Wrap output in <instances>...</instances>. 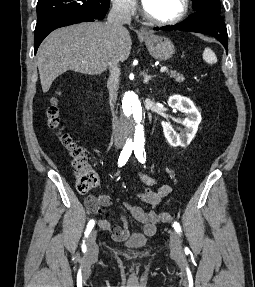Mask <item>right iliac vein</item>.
<instances>
[{
  "label": "right iliac vein",
  "instance_id": "right-iliac-vein-1",
  "mask_svg": "<svg viewBox=\"0 0 255 287\" xmlns=\"http://www.w3.org/2000/svg\"><path fill=\"white\" fill-rule=\"evenodd\" d=\"M97 231L94 229L87 239L86 259L89 262L94 261L98 255V245L96 243Z\"/></svg>",
  "mask_w": 255,
  "mask_h": 287
}]
</instances>
